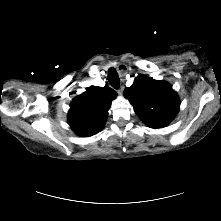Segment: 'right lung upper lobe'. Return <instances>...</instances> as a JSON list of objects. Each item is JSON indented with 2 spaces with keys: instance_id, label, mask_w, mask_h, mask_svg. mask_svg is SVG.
<instances>
[{
  "instance_id": "obj_1",
  "label": "right lung upper lobe",
  "mask_w": 221,
  "mask_h": 221,
  "mask_svg": "<svg viewBox=\"0 0 221 221\" xmlns=\"http://www.w3.org/2000/svg\"><path fill=\"white\" fill-rule=\"evenodd\" d=\"M117 93L108 86H91L70 104L68 123L82 137L101 131L106 123L108 109Z\"/></svg>"
}]
</instances>
